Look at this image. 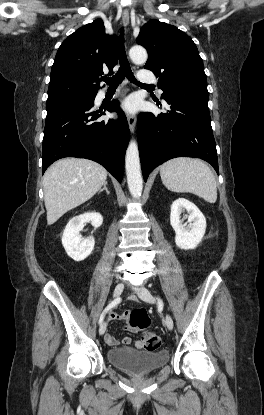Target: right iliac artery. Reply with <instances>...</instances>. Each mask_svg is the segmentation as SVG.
I'll return each mask as SVG.
<instances>
[{
	"label": "right iliac artery",
	"instance_id": "82829eb1",
	"mask_svg": "<svg viewBox=\"0 0 264 415\" xmlns=\"http://www.w3.org/2000/svg\"><path fill=\"white\" fill-rule=\"evenodd\" d=\"M120 301H121V298L120 297H118V298H116L114 301H112L104 310H103V312L101 313V315H100V318H99V324H101L102 322H103V320H104V317H105V315H106V313L109 311V309H111V308H113V307H115L118 303H120Z\"/></svg>",
	"mask_w": 264,
	"mask_h": 415
}]
</instances>
